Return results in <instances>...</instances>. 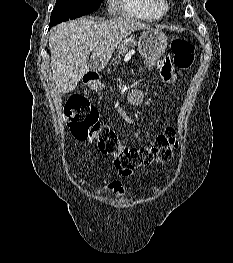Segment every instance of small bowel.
Segmentation results:
<instances>
[{"label":"small bowel","instance_id":"obj_1","mask_svg":"<svg viewBox=\"0 0 233 263\" xmlns=\"http://www.w3.org/2000/svg\"><path fill=\"white\" fill-rule=\"evenodd\" d=\"M157 70L162 79L167 83H175L177 81V74L172 66L170 59L165 57L157 64ZM104 165H100L103 168ZM102 193L110 194L117 198L123 195L124 189L119 181H112L101 190Z\"/></svg>","mask_w":233,"mask_h":263}]
</instances>
